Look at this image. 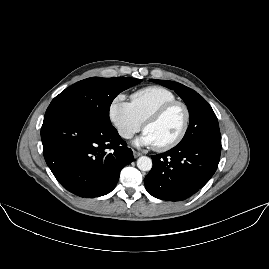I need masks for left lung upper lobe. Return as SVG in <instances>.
Segmentation results:
<instances>
[{
    "mask_svg": "<svg viewBox=\"0 0 269 269\" xmlns=\"http://www.w3.org/2000/svg\"><path fill=\"white\" fill-rule=\"evenodd\" d=\"M150 81L173 89L187 105L190 124L179 144L188 145L200 140L221 142L217 117L211 106L201 95L177 82L157 79H151Z\"/></svg>",
    "mask_w": 269,
    "mask_h": 269,
    "instance_id": "1",
    "label": "left lung upper lobe"
}]
</instances>
